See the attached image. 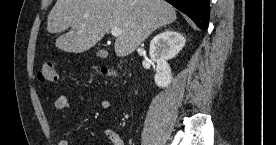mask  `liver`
<instances>
[{
	"label": "liver",
	"mask_w": 276,
	"mask_h": 145,
	"mask_svg": "<svg viewBox=\"0 0 276 145\" xmlns=\"http://www.w3.org/2000/svg\"><path fill=\"white\" fill-rule=\"evenodd\" d=\"M176 10L164 0H57L48 15L47 31L58 33L55 46L82 53L96 45L112 28L122 33L115 53L124 57L136 50L156 29L176 20Z\"/></svg>",
	"instance_id": "liver-1"
}]
</instances>
